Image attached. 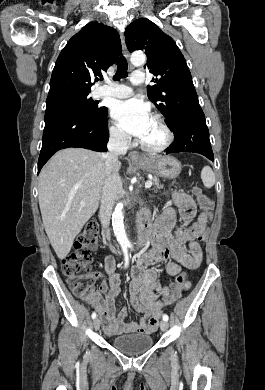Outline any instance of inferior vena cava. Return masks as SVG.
Returning <instances> with one entry per match:
<instances>
[{
  "mask_svg": "<svg viewBox=\"0 0 265 390\" xmlns=\"http://www.w3.org/2000/svg\"><path fill=\"white\" fill-rule=\"evenodd\" d=\"M108 152L103 154L105 161L106 179L102 188L99 218L107 230L112 214L113 205L122 184L120 177L112 172L119 155H125L128 149L127 135L123 132H112L107 144Z\"/></svg>",
  "mask_w": 265,
  "mask_h": 390,
  "instance_id": "obj_1",
  "label": "inferior vena cava"
}]
</instances>
